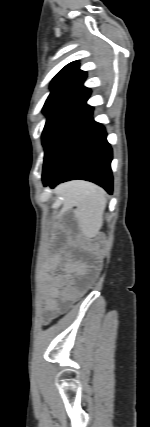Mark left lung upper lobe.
I'll return each instance as SVG.
<instances>
[{
  "mask_svg": "<svg viewBox=\"0 0 150 427\" xmlns=\"http://www.w3.org/2000/svg\"><path fill=\"white\" fill-rule=\"evenodd\" d=\"M85 78L86 72L79 70L77 61L66 65L53 78L50 86L51 93L43 107L47 120L70 105L88 89L82 85Z\"/></svg>",
  "mask_w": 150,
  "mask_h": 427,
  "instance_id": "1",
  "label": "left lung upper lobe"
}]
</instances>
